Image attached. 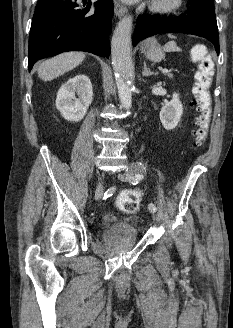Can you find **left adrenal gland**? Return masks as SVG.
Segmentation results:
<instances>
[{
  "instance_id": "left-adrenal-gland-1",
  "label": "left adrenal gland",
  "mask_w": 233,
  "mask_h": 328,
  "mask_svg": "<svg viewBox=\"0 0 233 328\" xmlns=\"http://www.w3.org/2000/svg\"><path fill=\"white\" fill-rule=\"evenodd\" d=\"M142 75L145 77L151 76V75H157L156 72L151 71L149 68H147L146 62H144V68Z\"/></svg>"
}]
</instances>
